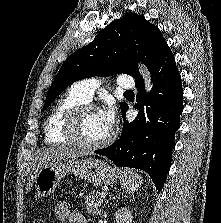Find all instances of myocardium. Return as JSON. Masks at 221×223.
I'll list each match as a JSON object with an SVG mask.
<instances>
[{
  "label": "myocardium",
  "instance_id": "f54148a6",
  "mask_svg": "<svg viewBox=\"0 0 221 223\" xmlns=\"http://www.w3.org/2000/svg\"><path fill=\"white\" fill-rule=\"evenodd\" d=\"M92 110L100 111V108L92 103H83L75 106L67 113L63 126V134L66 139L74 146L85 151H95L109 146L115 139L116 135L115 131L111 129L110 134L98 143H85L79 139L77 132L80 121L87 112Z\"/></svg>",
  "mask_w": 221,
  "mask_h": 223
}]
</instances>
